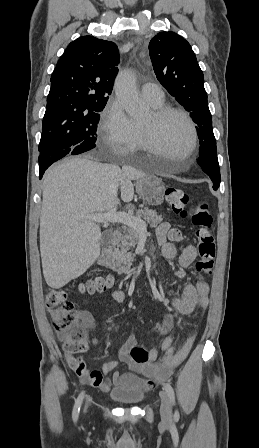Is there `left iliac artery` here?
Returning a JSON list of instances; mask_svg holds the SVG:
<instances>
[{"label": "left iliac artery", "instance_id": "obj_1", "mask_svg": "<svg viewBox=\"0 0 259 448\" xmlns=\"http://www.w3.org/2000/svg\"><path fill=\"white\" fill-rule=\"evenodd\" d=\"M164 389L166 390L172 405H175V393L172 386L169 383H166L164 384ZM174 418L175 420L179 419V413L177 410L175 411Z\"/></svg>", "mask_w": 259, "mask_h": 448}]
</instances>
